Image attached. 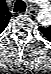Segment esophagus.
<instances>
[{
  "instance_id": "34e87169",
  "label": "esophagus",
  "mask_w": 51,
  "mask_h": 74,
  "mask_svg": "<svg viewBox=\"0 0 51 74\" xmlns=\"http://www.w3.org/2000/svg\"><path fill=\"white\" fill-rule=\"evenodd\" d=\"M27 13L30 14V15H35L37 13V11L33 8H30L27 10Z\"/></svg>"
}]
</instances>
